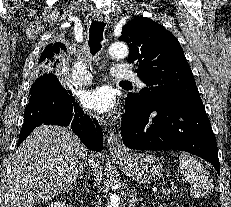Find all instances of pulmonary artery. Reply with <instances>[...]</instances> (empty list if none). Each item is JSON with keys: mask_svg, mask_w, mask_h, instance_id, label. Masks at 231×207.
<instances>
[{"mask_svg": "<svg viewBox=\"0 0 231 207\" xmlns=\"http://www.w3.org/2000/svg\"><path fill=\"white\" fill-rule=\"evenodd\" d=\"M111 73L116 79L134 81L140 86L143 85L133 70L128 66L116 65L112 68ZM91 79L90 73L82 66L76 67L71 73V80L76 85H86L91 82Z\"/></svg>", "mask_w": 231, "mask_h": 207, "instance_id": "e3ab8cb5", "label": "pulmonary artery"}]
</instances>
